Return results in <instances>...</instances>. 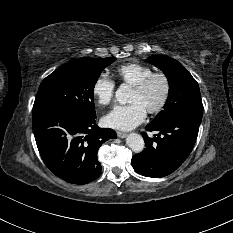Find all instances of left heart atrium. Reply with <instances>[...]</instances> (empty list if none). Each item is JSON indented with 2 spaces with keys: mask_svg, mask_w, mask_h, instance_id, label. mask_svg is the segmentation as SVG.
<instances>
[{
  "mask_svg": "<svg viewBox=\"0 0 233 233\" xmlns=\"http://www.w3.org/2000/svg\"><path fill=\"white\" fill-rule=\"evenodd\" d=\"M145 108L133 102L128 105L115 106L103 119L104 124L110 128L119 130H131L144 121Z\"/></svg>",
  "mask_w": 233,
  "mask_h": 233,
  "instance_id": "obj_1",
  "label": "left heart atrium"
}]
</instances>
